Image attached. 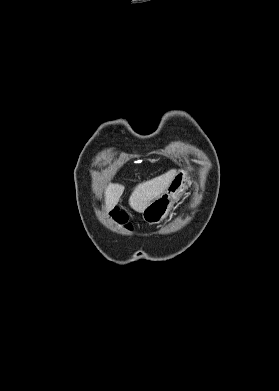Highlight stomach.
Masks as SVG:
<instances>
[{
  "instance_id": "obj_1",
  "label": "stomach",
  "mask_w": 279,
  "mask_h": 391,
  "mask_svg": "<svg viewBox=\"0 0 279 391\" xmlns=\"http://www.w3.org/2000/svg\"><path fill=\"white\" fill-rule=\"evenodd\" d=\"M190 178L184 170L176 173L171 184L159 197L151 201L142 212L144 221L149 224L162 222L169 214L171 208L190 186Z\"/></svg>"
}]
</instances>
